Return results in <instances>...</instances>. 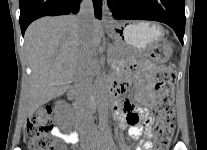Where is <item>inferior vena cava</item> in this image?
Instances as JSON below:
<instances>
[{
	"label": "inferior vena cava",
	"instance_id": "602c4592",
	"mask_svg": "<svg viewBox=\"0 0 207 150\" xmlns=\"http://www.w3.org/2000/svg\"><path fill=\"white\" fill-rule=\"evenodd\" d=\"M77 19L82 29V39L76 66V82L80 99L83 101L88 98L92 91L95 55V48L89 36L91 23L94 20L92 0H83L81 2Z\"/></svg>",
	"mask_w": 207,
	"mask_h": 150
}]
</instances>
